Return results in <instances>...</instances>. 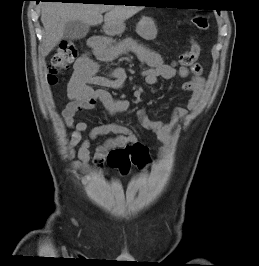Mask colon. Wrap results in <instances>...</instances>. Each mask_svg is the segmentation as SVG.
<instances>
[{
	"mask_svg": "<svg viewBox=\"0 0 259 266\" xmlns=\"http://www.w3.org/2000/svg\"><path fill=\"white\" fill-rule=\"evenodd\" d=\"M198 30L206 31L209 27L208 19L203 15H196L192 19ZM200 55V46L192 42L189 50L181 54L178 64L183 67H191L196 64ZM78 57V50L71 41H62L55 52L48 69V81L50 84L58 82L60 74L65 71ZM108 165L117 168L121 173H127L132 166L143 169L150 161L148 149L137 142L118 148L110 152Z\"/></svg>",
	"mask_w": 259,
	"mask_h": 266,
	"instance_id": "5ec220e1",
	"label": "colon"
}]
</instances>
